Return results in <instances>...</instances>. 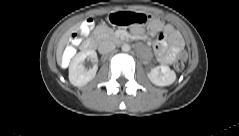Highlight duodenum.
I'll return each mask as SVG.
<instances>
[{
	"instance_id": "duodenum-1",
	"label": "duodenum",
	"mask_w": 239,
	"mask_h": 136,
	"mask_svg": "<svg viewBox=\"0 0 239 136\" xmlns=\"http://www.w3.org/2000/svg\"><path fill=\"white\" fill-rule=\"evenodd\" d=\"M120 43H124L125 40L119 39ZM75 43H79L78 39H75ZM94 40L93 39H87L83 44H82V49L83 50H92L94 48Z\"/></svg>"
}]
</instances>
